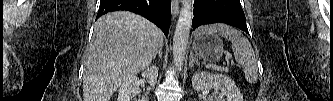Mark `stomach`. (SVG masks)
I'll return each mask as SVG.
<instances>
[{
	"label": "stomach",
	"instance_id": "0dacf381",
	"mask_svg": "<svg viewBox=\"0 0 333 101\" xmlns=\"http://www.w3.org/2000/svg\"><path fill=\"white\" fill-rule=\"evenodd\" d=\"M223 41L215 33L203 32L195 35L193 50L197 57L208 61L217 62L222 57Z\"/></svg>",
	"mask_w": 333,
	"mask_h": 101
}]
</instances>
